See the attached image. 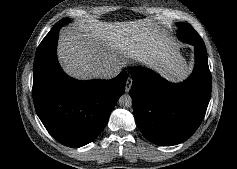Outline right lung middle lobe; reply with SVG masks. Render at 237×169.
<instances>
[{
  "mask_svg": "<svg viewBox=\"0 0 237 169\" xmlns=\"http://www.w3.org/2000/svg\"><path fill=\"white\" fill-rule=\"evenodd\" d=\"M68 22H69V18H65V19L60 20L58 23H56L54 25V27L50 30V32H55V31L60 30V28Z\"/></svg>",
  "mask_w": 237,
  "mask_h": 169,
  "instance_id": "1",
  "label": "right lung middle lobe"
}]
</instances>
